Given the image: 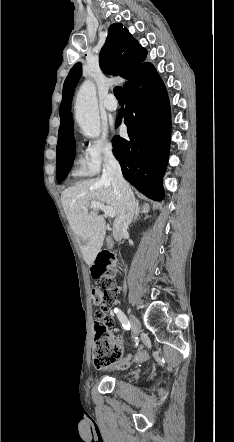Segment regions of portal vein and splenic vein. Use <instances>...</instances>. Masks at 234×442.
Returning <instances> with one entry per match:
<instances>
[{
	"mask_svg": "<svg viewBox=\"0 0 234 442\" xmlns=\"http://www.w3.org/2000/svg\"><path fill=\"white\" fill-rule=\"evenodd\" d=\"M89 209H100L104 212L105 216H109V217H115L116 213L113 210V208L106 206L100 202H92L90 204ZM85 212H88V208L84 210Z\"/></svg>",
	"mask_w": 234,
	"mask_h": 442,
	"instance_id": "obj_1",
	"label": "portal vein and splenic vein"
}]
</instances>
